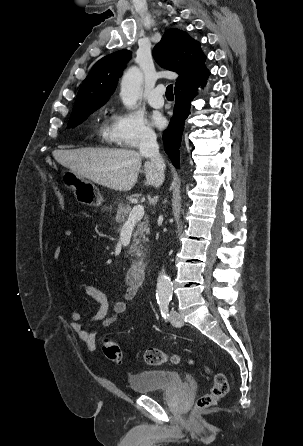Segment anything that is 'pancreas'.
Segmentation results:
<instances>
[{
    "label": "pancreas",
    "instance_id": "1",
    "mask_svg": "<svg viewBox=\"0 0 303 446\" xmlns=\"http://www.w3.org/2000/svg\"><path fill=\"white\" fill-rule=\"evenodd\" d=\"M131 212V206L129 204H119L117 209V214L115 217V221L118 224H123L128 215ZM149 234V228H148V220L144 219V221H140L137 224V229L134 232V239L129 249V254H135L137 257L142 255L143 246L142 244L145 243L148 239L146 238V235Z\"/></svg>",
    "mask_w": 303,
    "mask_h": 446
}]
</instances>
